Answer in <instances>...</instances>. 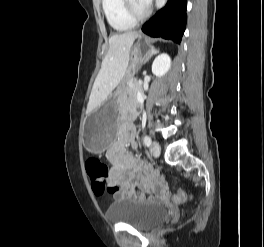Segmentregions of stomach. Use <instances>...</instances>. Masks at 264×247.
Segmentation results:
<instances>
[{
  "label": "stomach",
  "instance_id": "stomach-1",
  "mask_svg": "<svg viewBox=\"0 0 264 247\" xmlns=\"http://www.w3.org/2000/svg\"><path fill=\"white\" fill-rule=\"evenodd\" d=\"M150 52L148 42L134 44L131 51V69H137ZM124 87L120 86L101 107L88 114L82 124L81 137L86 150L98 154L105 151L118 131L120 99Z\"/></svg>",
  "mask_w": 264,
  "mask_h": 247
}]
</instances>
